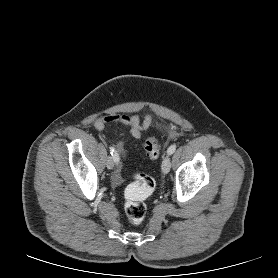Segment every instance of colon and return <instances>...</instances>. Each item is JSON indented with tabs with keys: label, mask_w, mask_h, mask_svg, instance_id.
<instances>
[{
	"label": "colon",
	"mask_w": 278,
	"mask_h": 278,
	"mask_svg": "<svg viewBox=\"0 0 278 278\" xmlns=\"http://www.w3.org/2000/svg\"><path fill=\"white\" fill-rule=\"evenodd\" d=\"M144 149L151 159H157L160 152L159 141L149 138L144 144ZM155 188V180L145 174H134V181L125 191V213L128 220L133 224H140L147 212L145 200L152 194Z\"/></svg>",
	"instance_id": "colon-1"
}]
</instances>
